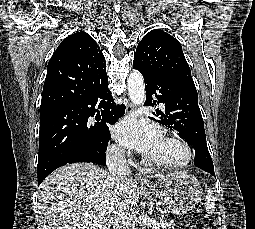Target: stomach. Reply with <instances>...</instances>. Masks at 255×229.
<instances>
[{
  "label": "stomach",
  "instance_id": "stomach-1",
  "mask_svg": "<svg viewBox=\"0 0 255 229\" xmlns=\"http://www.w3.org/2000/svg\"><path fill=\"white\" fill-rule=\"evenodd\" d=\"M151 190L165 200L167 212L173 216L183 215L195 208L203 195L197 178L187 171L171 173Z\"/></svg>",
  "mask_w": 255,
  "mask_h": 229
}]
</instances>
